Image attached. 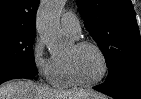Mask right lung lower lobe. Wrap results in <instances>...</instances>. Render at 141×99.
<instances>
[{
  "instance_id": "right-lung-lower-lobe-1",
  "label": "right lung lower lobe",
  "mask_w": 141,
  "mask_h": 99,
  "mask_svg": "<svg viewBox=\"0 0 141 99\" xmlns=\"http://www.w3.org/2000/svg\"><path fill=\"white\" fill-rule=\"evenodd\" d=\"M38 71L26 70V69H11L0 71V84L5 81L17 78H29L37 75Z\"/></svg>"
}]
</instances>
